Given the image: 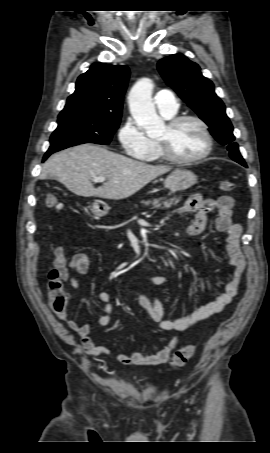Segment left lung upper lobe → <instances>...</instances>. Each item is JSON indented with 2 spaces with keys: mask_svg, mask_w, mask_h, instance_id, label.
I'll list each match as a JSON object with an SVG mask.
<instances>
[{
  "mask_svg": "<svg viewBox=\"0 0 270 453\" xmlns=\"http://www.w3.org/2000/svg\"><path fill=\"white\" fill-rule=\"evenodd\" d=\"M157 68L171 86L210 127V132L221 144L226 145L230 157L246 167L235 137L233 126L225 113V106L214 92L213 83L204 77L200 67L182 54L161 59Z\"/></svg>",
  "mask_w": 270,
  "mask_h": 453,
  "instance_id": "5c2ea615",
  "label": "left lung upper lobe"
}]
</instances>
